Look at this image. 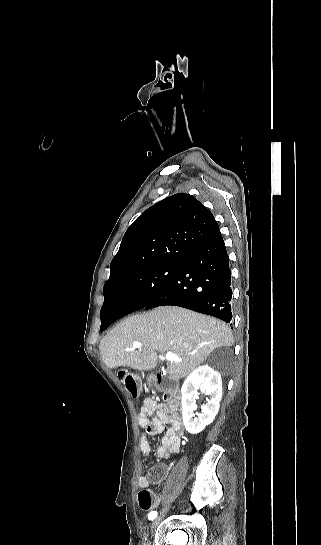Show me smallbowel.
I'll return each mask as SVG.
<instances>
[{"instance_id":"1","label":"small bowel","mask_w":321,"mask_h":545,"mask_svg":"<svg viewBox=\"0 0 321 545\" xmlns=\"http://www.w3.org/2000/svg\"><path fill=\"white\" fill-rule=\"evenodd\" d=\"M137 421L142 430L139 448L145 458H150L151 454L148 435L163 433L161 444L155 452L158 458L168 459L179 451L184 435V427L178 417L177 408L174 403L162 405L152 398H146L143 401ZM174 464V462L170 465L160 463L153 466L147 476L139 477L138 486L145 489L151 483L156 484L161 482L168 476Z\"/></svg>"}]
</instances>
